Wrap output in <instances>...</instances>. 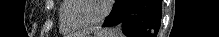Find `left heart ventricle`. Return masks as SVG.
Instances as JSON below:
<instances>
[{
	"mask_svg": "<svg viewBox=\"0 0 219 37\" xmlns=\"http://www.w3.org/2000/svg\"><path fill=\"white\" fill-rule=\"evenodd\" d=\"M77 6L71 17L77 22L96 19L103 10L102 0H76Z\"/></svg>",
	"mask_w": 219,
	"mask_h": 37,
	"instance_id": "1",
	"label": "left heart ventricle"
}]
</instances>
